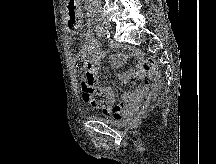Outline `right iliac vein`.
<instances>
[{
	"mask_svg": "<svg viewBox=\"0 0 216 164\" xmlns=\"http://www.w3.org/2000/svg\"><path fill=\"white\" fill-rule=\"evenodd\" d=\"M99 21L104 26V28L106 30H110L111 29V24H110V22L106 18H101Z\"/></svg>",
	"mask_w": 216,
	"mask_h": 164,
	"instance_id": "obj_1",
	"label": "right iliac vein"
}]
</instances>
